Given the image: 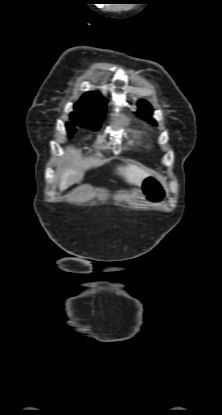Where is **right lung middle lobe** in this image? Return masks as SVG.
<instances>
[{"label": "right lung middle lobe", "instance_id": "1", "mask_svg": "<svg viewBox=\"0 0 222 415\" xmlns=\"http://www.w3.org/2000/svg\"><path fill=\"white\" fill-rule=\"evenodd\" d=\"M103 111H90L82 108H75V111L71 113L70 119L78 126L90 128L97 131L100 128L101 118L104 116ZM70 134L74 133V126L71 124L66 125Z\"/></svg>", "mask_w": 222, "mask_h": 415}]
</instances>
